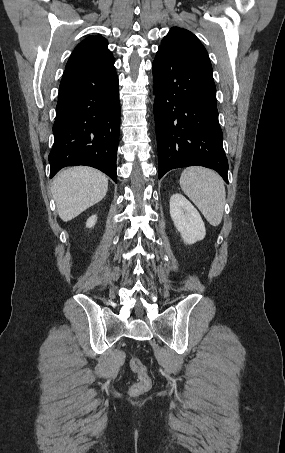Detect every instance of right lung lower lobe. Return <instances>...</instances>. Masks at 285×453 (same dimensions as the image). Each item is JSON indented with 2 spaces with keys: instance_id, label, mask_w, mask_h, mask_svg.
<instances>
[{
  "instance_id": "98d812e1",
  "label": "right lung lower lobe",
  "mask_w": 285,
  "mask_h": 453,
  "mask_svg": "<svg viewBox=\"0 0 285 453\" xmlns=\"http://www.w3.org/2000/svg\"><path fill=\"white\" fill-rule=\"evenodd\" d=\"M120 130L118 77L105 70L65 69L59 86L50 178L65 166L97 168L117 183Z\"/></svg>"
}]
</instances>
